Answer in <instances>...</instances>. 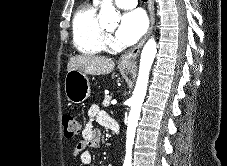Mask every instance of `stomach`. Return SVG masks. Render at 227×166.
I'll return each mask as SVG.
<instances>
[{
	"label": "stomach",
	"instance_id": "obj_1",
	"mask_svg": "<svg viewBox=\"0 0 227 166\" xmlns=\"http://www.w3.org/2000/svg\"><path fill=\"white\" fill-rule=\"evenodd\" d=\"M132 65L123 66V69L130 70ZM65 94L68 101L80 104L91 94L90 82L87 74L78 70L68 71L65 77Z\"/></svg>",
	"mask_w": 227,
	"mask_h": 166
}]
</instances>
